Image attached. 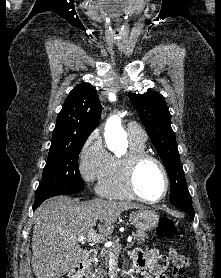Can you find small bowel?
Masks as SVG:
<instances>
[{"label": "small bowel", "mask_w": 221, "mask_h": 278, "mask_svg": "<svg viewBox=\"0 0 221 278\" xmlns=\"http://www.w3.org/2000/svg\"><path fill=\"white\" fill-rule=\"evenodd\" d=\"M132 259L139 269L146 272L145 278H166L168 259L158 249H150L146 252L134 250Z\"/></svg>", "instance_id": "obj_1"}]
</instances>
